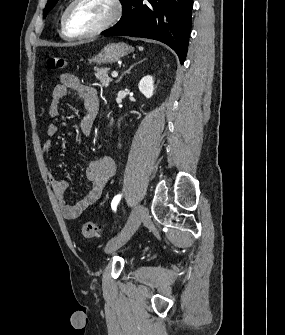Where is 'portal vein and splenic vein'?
Instances as JSON below:
<instances>
[{
    "label": "portal vein and splenic vein",
    "mask_w": 285,
    "mask_h": 335,
    "mask_svg": "<svg viewBox=\"0 0 285 335\" xmlns=\"http://www.w3.org/2000/svg\"><path fill=\"white\" fill-rule=\"evenodd\" d=\"M111 76H112V78H117L118 72H112Z\"/></svg>",
    "instance_id": "18ae733b"
}]
</instances>
